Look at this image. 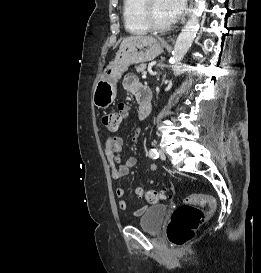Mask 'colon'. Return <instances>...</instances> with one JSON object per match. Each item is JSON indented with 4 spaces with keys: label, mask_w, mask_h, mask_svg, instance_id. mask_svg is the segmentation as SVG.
<instances>
[{
    "label": "colon",
    "mask_w": 261,
    "mask_h": 273,
    "mask_svg": "<svg viewBox=\"0 0 261 273\" xmlns=\"http://www.w3.org/2000/svg\"><path fill=\"white\" fill-rule=\"evenodd\" d=\"M122 112L107 113L102 117V122L109 130H116L122 119ZM137 194L151 204L159 203L169 197L166 191L137 189ZM198 206H208L203 211ZM217 210L216 199L208 194H191L185 198L184 203L176 208L167 227V237L176 247L184 246L189 242L197 228Z\"/></svg>",
    "instance_id": "colon-1"
}]
</instances>
